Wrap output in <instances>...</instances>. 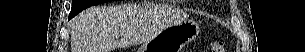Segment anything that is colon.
Returning <instances> with one entry per match:
<instances>
[{"label": "colon", "mask_w": 305, "mask_h": 52, "mask_svg": "<svg viewBox=\"0 0 305 52\" xmlns=\"http://www.w3.org/2000/svg\"><path fill=\"white\" fill-rule=\"evenodd\" d=\"M223 51H224V49L220 42H215L212 45V52H223Z\"/></svg>", "instance_id": "obj_1"}]
</instances>
